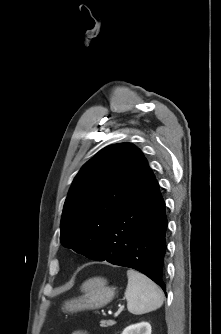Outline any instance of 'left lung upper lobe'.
Wrapping results in <instances>:
<instances>
[{"label": "left lung upper lobe", "instance_id": "1", "mask_svg": "<svg viewBox=\"0 0 221 334\" xmlns=\"http://www.w3.org/2000/svg\"><path fill=\"white\" fill-rule=\"evenodd\" d=\"M148 169L142 152L130 143L108 146L84 164L64 204L62 245L96 259L111 221Z\"/></svg>", "mask_w": 221, "mask_h": 334}]
</instances>
